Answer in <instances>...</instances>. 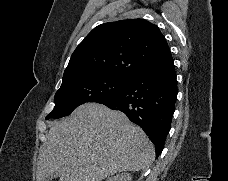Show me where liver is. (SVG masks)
I'll list each match as a JSON object with an SVG mask.
<instances>
[{
    "instance_id": "liver-1",
    "label": "liver",
    "mask_w": 228,
    "mask_h": 181,
    "mask_svg": "<svg viewBox=\"0 0 228 181\" xmlns=\"http://www.w3.org/2000/svg\"><path fill=\"white\" fill-rule=\"evenodd\" d=\"M50 127L40 149L37 181L52 173H59L60 181H103L154 161V145L144 131L121 111L99 103L80 105Z\"/></svg>"
}]
</instances>
